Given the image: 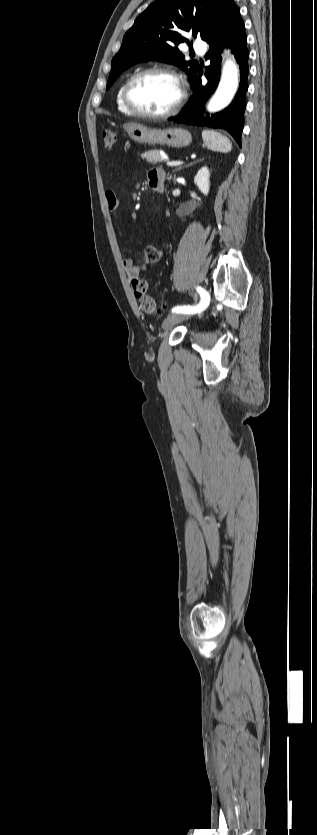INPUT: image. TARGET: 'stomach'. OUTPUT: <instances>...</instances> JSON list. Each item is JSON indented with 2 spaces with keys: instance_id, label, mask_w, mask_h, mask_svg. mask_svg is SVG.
<instances>
[{
  "instance_id": "1",
  "label": "stomach",
  "mask_w": 317,
  "mask_h": 835,
  "mask_svg": "<svg viewBox=\"0 0 317 835\" xmlns=\"http://www.w3.org/2000/svg\"><path fill=\"white\" fill-rule=\"evenodd\" d=\"M124 129L133 141L140 144H160L182 148L192 142L191 133L183 128L156 129L138 123H127Z\"/></svg>"
}]
</instances>
